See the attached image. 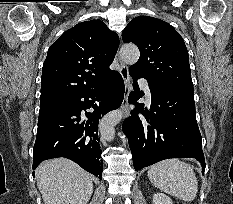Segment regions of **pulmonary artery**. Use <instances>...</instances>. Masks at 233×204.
Listing matches in <instances>:
<instances>
[{"label": "pulmonary artery", "instance_id": "pulmonary-artery-1", "mask_svg": "<svg viewBox=\"0 0 233 204\" xmlns=\"http://www.w3.org/2000/svg\"><path fill=\"white\" fill-rule=\"evenodd\" d=\"M139 82H140L141 86L143 87V89L145 90L147 98H151V92L149 89L148 82L145 79H140Z\"/></svg>", "mask_w": 233, "mask_h": 204}]
</instances>
